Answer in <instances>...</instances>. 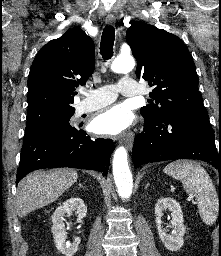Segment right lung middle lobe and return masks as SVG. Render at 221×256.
<instances>
[{
    "label": "right lung middle lobe",
    "mask_w": 221,
    "mask_h": 256,
    "mask_svg": "<svg viewBox=\"0 0 221 256\" xmlns=\"http://www.w3.org/2000/svg\"><path fill=\"white\" fill-rule=\"evenodd\" d=\"M74 112V108H53L27 113L25 133H30L49 123L70 120Z\"/></svg>",
    "instance_id": "dd1d6c3e"
}]
</instances>
